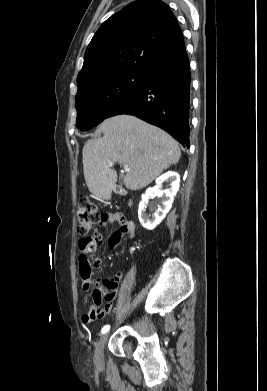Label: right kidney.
Returning a JSON list of instances; mask_svg holds the SVG:
<instances>
[{
    "mask_svg": "<svg viewBox=\"0 0 267 391\" xmlns=\"http://www.w3.org/2000/svg\"><path fill=\"white\" fill-rule=\"evenodd\" d=\"M163 183H167L169 188L162 190L161 186ZM179 186V174L177 172L168 171L156 179V185L154 187L148 188L146 190L145 194L142 195L138 209L139 221L144 228L153 230L161 223L172 207V203L176 193L179 190ZM154 196L161 198V202L160 205H158L155 213L151 216L150 214L146 213V208L149 198Z\"/></svg>",
    "mask_w": 267,
    "mask_h": 391,
    "instance_id": "1",
    "label": "right kidney"
}]
</instances>
